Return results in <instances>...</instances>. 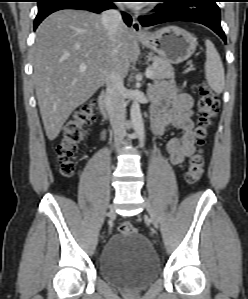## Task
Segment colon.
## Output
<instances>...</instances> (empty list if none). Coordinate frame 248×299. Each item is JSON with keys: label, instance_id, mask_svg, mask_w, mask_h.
I'll return each mask as SVG.
<instances>
[{"label": "colon", "instance_id": "5ec220e1", "mask_svg": "<svg viewBox=\"0 0 248 299\" xmlns=\"http://www.w3.org/2000/svg\"><path fill=\"white\" fill-rule=\"evenodd\" d=\"M219 106L217 95L207 84H203L199 90V115L195 130L198 149L190 157L185 174L186 182L190 185L197 183L202 176L205 162L200 148L208 137L209 129L213 124V118L218 112ZM93 113V103H84L63 128L62 138L55 148L57 170L63 177H70L75 172L74 158L83 138V127L92 121ZM118 230L122 234L129 235L135 232V227L130 222L123 221L119 224Z\"/></svg>", "mask_w": 248, "mask_h": 299}]
</instances>
